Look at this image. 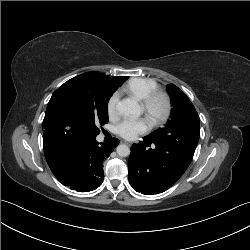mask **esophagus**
Here are the masks:
<instances>
[{
	"label": "esophagus",
	"instance_id": "34e87169",
	"mask_svg": "<svg viewBox=\"0 0 250 250\" xmlns=\"http://www.w3.org/2000/svg\"><path fill=\"white\" fill-rule=\"evenodd\" d=\"M124 143L127 144V145H130V143H128V142H126V141H125Z\"/></svg>",
	"mask_w": 250,
	"mask_h": 250
}]
</instances>
